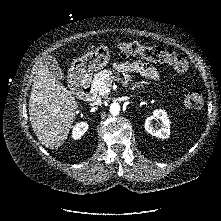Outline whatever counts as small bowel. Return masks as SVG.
<instances>
[{
    "instance_id": "1",
    "label": "small bowel",
    "mask_w": 221,
    "mask_h": 221,
    "mask_svg": "<svg viewBox=\"0 0 221 221\" xmlns=\"http://www.w3.org/2000/svg\"><path fill=\"white\" fill-rule=\"evenodd\" d=\"M115 69L122 73L134 71L151 80L159 79L158 71L153 66L142 61L116 63Z\"/></svg>"
}]
</instances>
